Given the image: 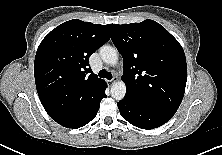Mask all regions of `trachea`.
<instances>
[{
	"label": "trachea",
	"instance_id": "1",
	"mask_svg": "<svg viewBox=\"0 0 222 155\" xmlns=\"http://www.w3.org/2000/svg\"><path fill=\"white\" fill-rule=\"evenodd\" d=\"M99 77L111 80L112 79V74L110 72L106 71L105 69H103V70H100Z\"/></svg>",
	"mask_w": 222,
	"mask_h": 155
}]
</instances>
